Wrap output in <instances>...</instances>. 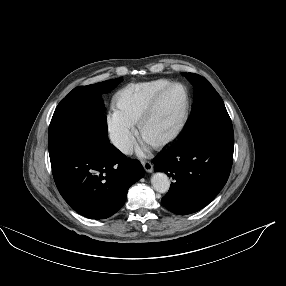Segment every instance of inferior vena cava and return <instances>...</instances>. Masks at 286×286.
Returning a JSON list of instances; mask_svg holds the SVG:
<instances>
[{
    "instance_id": "inferior-vena-cava-1",
    "label": "inferior vena cava",
    "mask_w": 286,
    "mask_h": 286,
    "mask_svg": "<svg viewBox=\"0 0 286 286\" xmlns=\"http://www.w3.org/2000/svg\"><path fill=\"white\" fill-rule=\"evenodd\" d=\"M112 142L117 146L121 151L125 153L132 152V142L129 135L124 133L114 134L112 136Z\"/></svg>"
}]
</instances>
